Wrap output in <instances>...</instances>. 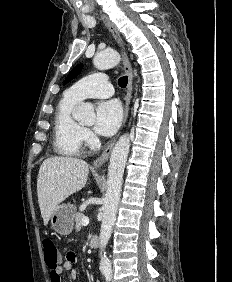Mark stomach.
Masks as SVG:
<instances>
[{
    "instance_id": "1",
    "label": "stomach",
    "mask_w": 232,
    "mask_h": 282,
    "mask_svg": "<svg viewBox=\"0 0 232 282\" xmlns=\"http://www.w3.org/2000/svg\"><path fill=\"white\" fill-rule=\"evenodd\" d=\"M76 207L73 204L58 205L51 215V226L60 235L67 236L73 230Z\"/></svg>"
}]
</instances>
